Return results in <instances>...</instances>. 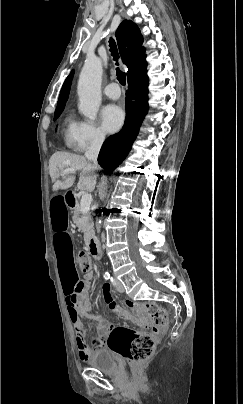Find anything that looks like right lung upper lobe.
<instances>
[{"label":"right lung upper lobe","mask_w":243,"mask_h":404,"mask_svg":"<svg viewBox=\"0 0 243 404\" xmlns=\"http://www.w3.org/2000/svg\"><path fill=\"white\" fill-rule=\"evenodd\" d=\"M122 62L128 67V80L146 70L147 62L142 47L143 37L139 28L130 20L123 21L115 33ZM74 71L65 80L57 103V108L64 107L69 91ZM56 108V109H57Z\"/></svg>","instance_id":"obj_1"}]
</instances>
